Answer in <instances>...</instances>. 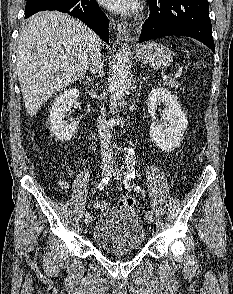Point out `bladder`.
Listing matches in <instances>:
<instances>
[{
  "label": "bladder",
  "mask_w": 233,
  "mask_h": 294,
  "mask_svg": "<svg viewBox=\"0 0 233 294\" xmlns=\"http://www.w3.org/2000/svg\"><path fill=\"white\" fill-rule=\"evenodd\" d=\"M145 227L130 207L116 206L105 210L93 228V241L102 251L123 255L138 251L145 241Z\"/></svg>",
  "instance_id": "bladder-1"
}]
</instances>
